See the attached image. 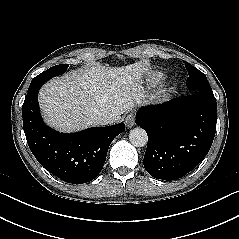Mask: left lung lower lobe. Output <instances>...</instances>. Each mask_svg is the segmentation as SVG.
<instances>
[{"mask_svg":"<svg viewBox=\"0 0 239 239\" xmlns=\"http://www.w3.org/2000/svg\"><path fill=\"white\" fill-rule=\"evenodd\" d=\"M213 93H192L158 106L141 107L136 124L148 135L143 164L153 177L176 180L207 155L216 132Z\"/></svg>","mask_w":239,"mask_h":239,"instance_id":"obj_1","label":"left lung lower lobe"}]
</instances>
